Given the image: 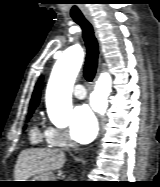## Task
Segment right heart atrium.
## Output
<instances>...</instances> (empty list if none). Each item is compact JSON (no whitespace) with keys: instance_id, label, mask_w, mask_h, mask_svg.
I'll return each instance as SVG.
<instances>
[{"instance_id":"obj_1","label":"right heart atrium","mask_w":160,"mask_h":187,"mask_svg":"<svg viewBox=\"0 0 160 187\" xmlns=\"http://www.w3.org/2000/svg\"><path fill=\"white\" fill-rule=\"evenodd\" d=\"M44 137L47 143L53 147L72 146L70 136L62 129L54 126H48L44 131Z\"/></svg>"}]
</instances>
